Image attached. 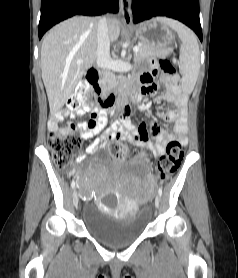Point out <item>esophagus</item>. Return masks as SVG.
Returning <instances> with one entry per match:
<instances>
[{"instance_id":"34e87169","label":"esophagus","mask_w":238,"mask_h":278,"mask_svg":"<svg viewBox=\"0 0 238 278\" xmlns=\"http://www.w3.org/2000/svg\"><path fill=\"white\" fill-rule=\"evenodd\" d=\"M120 10L122 14V18L124 22L131 23L132 22V12H131V2L130 0H119Z\"/></svg>"}]
</instances>
